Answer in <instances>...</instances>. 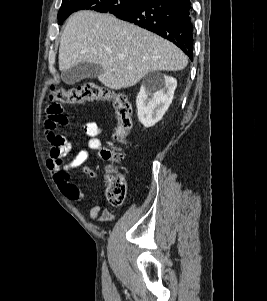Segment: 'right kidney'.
<instances>
[{"label": "right kidney", "instance_id": "obj_1", "mask_svg": "<svg viewBox=\"0 0 267 301\" xmlns=\"http://www.w3.org/2000/svg\"><path fill=\"white\" fill-rule=\"evenodd\" d=\"M177 87V80L164 75L158 83L144 84L137 95L138 119L148 128L160 121L168 110Z\"/></svg>", "mask_w": 267, "mask_h": 301}]
</instances>
